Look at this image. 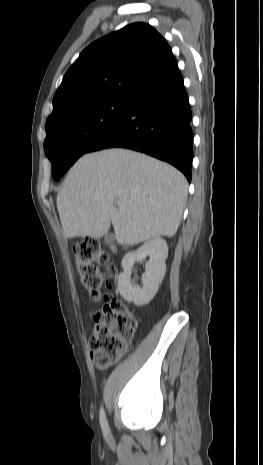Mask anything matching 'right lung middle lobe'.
<instances>
[{
  "label": "right lung middle lobe",
  "mask_w": 263,
  "mask_h": 465,
  "mask_svg": "<svg viewBox=\"0 0 263 465\" xmlns=\"http://www.w3.org/2000/svg\"><path fill=\"white\" fill-rule=\"evenodd\" d=\"M130 102L131 97L100 99L46 122L44 149L52 163L55 180L125 116Z\"/></svg>",
  "instance_id": "dd1d6c3e"
}]
</instances>
